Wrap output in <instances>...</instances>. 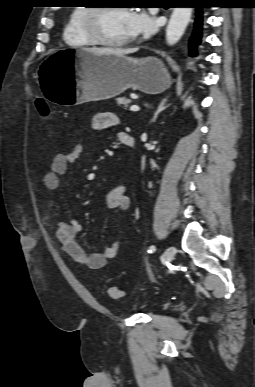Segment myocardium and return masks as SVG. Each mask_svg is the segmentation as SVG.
<instances>
[{
	"label": "myocardium",
	"mask_w": 255,
	"mask_h": 387,
	"mask_svg": "<svg viewBox=\"0 0 255 387\" xmlns=\"http://www.w3.org/2000/svg\"><path fill=\"white\" fill-rule=\"evenodd\" d=\"M111 8H121L128 11L127 8L122 6H110V7L91 6L86 9L83 17L84 30L88 35V37L95 44L108 46V47H121V46L127 45L132 41L131 37L122 39V40H112V39L106 38L100 30V26H99L100 15L103 11Z\"/></svg>",
	"instance_id": "f54148a6"
}]
</instances>
